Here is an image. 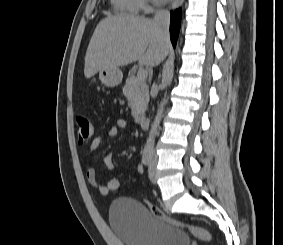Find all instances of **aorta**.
<instances>
[{
    "label": "aorta",
    "mask_w": 283,
    "mask_h": 245,
    "mask_svg": "<svg viewBox=\"0 0 283 245\" xmlns=\"http://www.w3.org/2000/svg\"><path fill=\"white\" fill-rule=\"evenodd\" d=\"M164 102H165V99H163L159 105V109L157 111V114L155 116V119L151 125V129H150V132H149V135H148V138H147V142H146V149H152L153 146H154V142H155V136L157 134V131H158V128H159V125H160V122H161V118H162V115H163V111H164Z\"/></svg>",
    "instance_id": "1"
}]
</instances>
